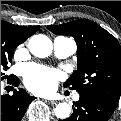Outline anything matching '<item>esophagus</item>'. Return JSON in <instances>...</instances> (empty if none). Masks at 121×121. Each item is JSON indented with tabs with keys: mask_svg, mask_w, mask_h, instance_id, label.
Returning <instances> with one entry per match:
<instances>
[{
	"mask_svg": "<svg viewBox=\"0 0 121 121\" xmlns=\"http://www.w3.org/2000/svg\"><path fill=\"white\" fill-rule=\"evenodd\" d=\"M48 102L52 105L57 103V101H54V100H49Z\"/></svg>",
	"mask_w": 121,
	"mask_h": 121,
	"instance_id": "34e87169",
	"label": "esophagus"
}]
</instances>
